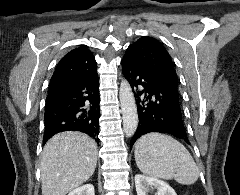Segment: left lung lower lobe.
Returning a JSON list of instances; mask_svg holds the SVG:
<instances>
[{
  "label": "left lung lower lobe",
  "mask_w": 240,
  "mask_h": 195,
  "mask_svg": "<svg viewBox=\"0 0 240 195\" xmlns=\"http://www.w3.org/2000/svg\"><path fill=\"white\" fill-rule=\"evenodd\" d=\"M122 72L135 94L139 116L130 148L140 136L149 132L168 133L189 143L182 121L178 90L126 57L122 59ZM139 86L145 90L140 91Z\"/></svg>",
  "instance_id": "left-lung-lower-lobe-1"
}]
</instances>
